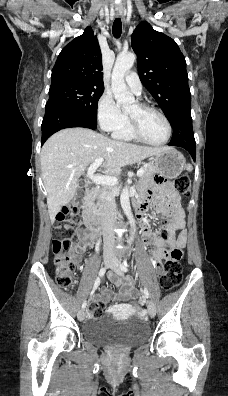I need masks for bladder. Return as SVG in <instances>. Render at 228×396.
I'll return each instance as SVG.
<instances>
[{
    "instance_id": "obj_1",
    "label": "bladder",
    "mask_w": 228,
    "mask_h": 396,
    "mask_svg": "<svg viewBox=\"0 0 228 396\" xmlns=\"http://www.w3.org/2000/svg\"><path fill=\"white\" fill-rule=\"evenodd\" d=\"M148 332L147 326L137 317L128 320L111 316L91 317L82 328L83 338L98 346H134L144 342Z\"/></svg>"
}]
</instances>
